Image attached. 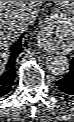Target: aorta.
<instances>
[{
  "instance_id": "1",
  "label": "aorta",
  "mask_w": 74,
  "mask_h": 122,
  "mask_svg": "<svg viewBox=\"0 0 74 122\" xmlns=\"http://www.w3.org/2000/svg\"><path fill=\"white\" fill-rule=\"evenodd\" d=\"M46 67L53 75L63 76L69 72L70 64L66 57L54 55L47 58Z\"/></svg>"
}]
</instances>
